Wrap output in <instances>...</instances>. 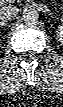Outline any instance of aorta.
Returning a JSON list of instances; mask_svg holds the SVG:
<instances>
[{"label": "aorta", "mask_w": 63, "mask_h": 107, "mask_svg": "<svg viewBox=\"0 0 63 107\" xmlns=\"http://www.w3.org/2000/svg\"><path fill=\"white\" fill-rule=\"evenodd\" d=\"M39 19V14L35 9H27L23 13V20L27 24H36Z\"/></svg>", "instance_id": "obj_1"}]
</instances>
